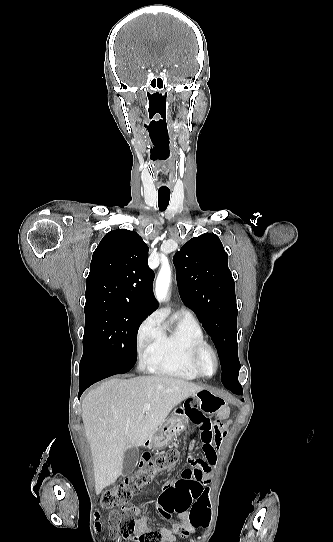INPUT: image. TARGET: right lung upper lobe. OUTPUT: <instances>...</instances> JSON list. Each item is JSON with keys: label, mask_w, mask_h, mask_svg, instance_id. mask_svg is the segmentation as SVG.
<instances>
[{"label": "right lung upper lobe", "mask_w": 333, "mask_h": 542, "mask_svg": "<svg viewBox=\"0 0 333 542\" xmlns=\"http://www.w3.org/2000/svg\"><path fill=\"white\" fill-rule=\"evenodd\" d=\"M148 246L134 231L108 232L93 253L85 307L109 305L151 314L158 308Z\"/></svg>", "instance_id": "obj_1"}]
</instances>
